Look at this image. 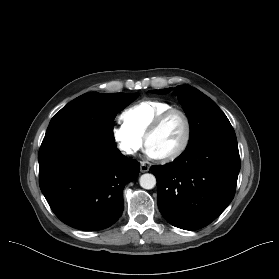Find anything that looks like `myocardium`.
<instances>
[{
	"mask_svg": "<svg viewBox=\"0 0 279 279\" xmlns=\"http://www.w3.org/2000/svg\"><path fill=\"white\" fill-rule=\"evenodd\" d=\"M174 113L179 114L182 117L185 124V134L181 144L178 146L176 150L164 156L158 157L160 160L164 162L177 159L187 150L192 137V124L188 114L184 110L176 107L166 109L154 119V121L150 124L144 135V143L145 146L148 147V140L150 136L154 134L161 127L164 121Z\"/></svg>",
	"mask_w": 279,
	"mask_h": 279,
	"instance_id": "myocardium-1",
	"label": "myocardium"
}]
</instances>
